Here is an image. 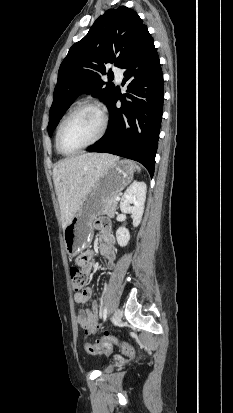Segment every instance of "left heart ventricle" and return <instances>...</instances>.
<instances>
[{"mask_svg":"<svg viewBox=\"0 0 233 413\" xmlns=\"http://www.w3.org/2000/svg\"><path fill=\"white\" fill-rule=\"evenodd\" d=\"M101 116L93 108L79 111L67 123L62 132V146L65 150L77 149L92 141L99 133Z\"/></svg>","mask_w":233,"mask_h":413,"instance_id":"1","label":"left heart ventricle"}]
</instances>
